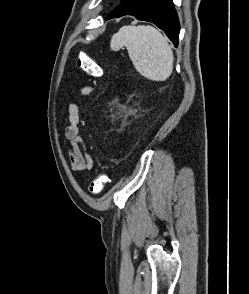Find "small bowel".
I'll use <instances>...</instances> for the list:
<instances>
[{
    "instance_id": "1",
    "label": "small bowel",
    "mask_w": 249,
    "mask_h": 294,
    "mask_svg": "<svg viewBox=\"0 0 249 294\" xmlns=\"http://www.w3.org/2000/svg\"><path fill=\"white\" fill-rule=\"evenodd\" d=\"M93 92L92 87H83L82 95H90ZM81 107L76 103L68 104L69 125L64 130V139L71 143L68 149V158L72 170L77 172L90 171L93 168L94 161L89 154L84 139L79 135L78 124L80 122Z\"/></svg>"
}]
</instances>
